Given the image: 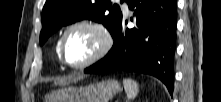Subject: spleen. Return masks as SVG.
<instances>
[{"label": "spleen", "instance_id": "obj_1", "mask_svg": "<svg viewBox=\"0 0 221 102\" xmlns=\"http://www.w3.org/2000/svg\"><path fill=\"white\" fill-rule=\"evenodd\" d=\"M123 86L129 99H134L137 96L139 88L136 81L131 79H123Z\"/></svg>", "mask_w": 221, "mask_h": 102}]
</instances>
